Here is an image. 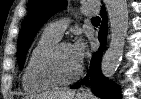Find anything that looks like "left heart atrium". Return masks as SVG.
I'll return each instance as SVG.
<instances>
[{"label":"left heart atrium","mask_w":141,"mask_h":99,"mask_svg":"<svg viewBox=\"0 0 141 99\" xmlns=\"http://www.w3.org/2000/svg\"><path fill=\"white\" fill-rule=\"evenodd\" d=\"M71 51L77 63L81 65L88 52L86 42L83 39H78L71 45Z\"/></svg>","instance_id":"left-heart-atrium-1"}]
</instances>
